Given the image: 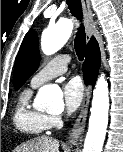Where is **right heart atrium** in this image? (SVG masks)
<instances>
[{
	"label": "right heart atrium",
	"instance_id": "right-heart-atrium-1",
	"mask_svg": "<svg viewBox=\"0 0 123 152\" xmlns=\"http://www.w3.org/2000/svg\"><path fill=\"white\" fill-rule=\"evenodd\" d=\"M47 122H48L49 129L55 128L60 124L61 117L59 115H48Z\"/></svg>",
	"mask_w": 123,
	"mask_h": 152
}]
</instances>
